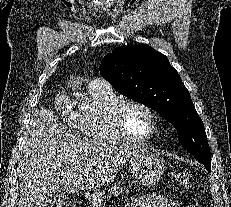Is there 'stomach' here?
Returning <instances> with one entry per match:
<instances>
[{"mask_svg":"<svg viewBox=\"0 0 231 207\" xmlns=\"http://www.w3.org/2000/svg\"><path fill=\"white\" fill-rule=\"evenodd\" d=\"M130 171L138 184L151 185L156 183L164 174L165 165L157 153L146 149L136 151L130 157ZM124 188L120 182H114L110 186V194L118 197L123 194ZM88 200L93 207H100L103 204L104 195L102 192H90Z\"/></svg>","mask_w":231,"mask_h":207,"instance_id":"stomach-1","label":"stomach"}]
</instances>
